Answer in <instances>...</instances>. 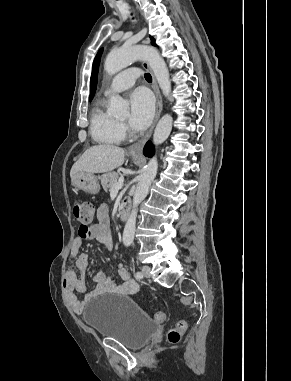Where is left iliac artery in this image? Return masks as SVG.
<instances>
[{"instance_id":"obj_1","label":"left iliac artery","mask_w":291,"mask_h":381,"mask_svg":"<svg viewBox=\"0 0 291 381\" xmlns=\"http://www.w3.org/2000/svg\"><path fill=\"white\" fill-rule=\"evenodd\" d=\"M135 277H136L137 279H141V278H143V274H142V272L137 271V272L135 273Z\"/></svg>"}]
</instances>
